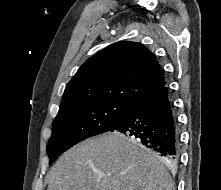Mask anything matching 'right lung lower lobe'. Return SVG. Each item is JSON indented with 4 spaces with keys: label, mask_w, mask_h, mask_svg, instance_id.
<instances>
[{
    "label": "right lung lower lobe",
    "mask_w": 221,
    "mask_h": 190,
    "mask_svg": "<svg viewBox=\"0 0 221 190\" xmlns=\"http://www.w3.org/2000/svg\"><path fill=\"white\" fill-rule=\"evenodd\" d=\"M110 132L136 139L169 165L179 159L178 122L167 85L133 104Z\"/></svg>",
    "instance_id": "1"
}]
</instances>
